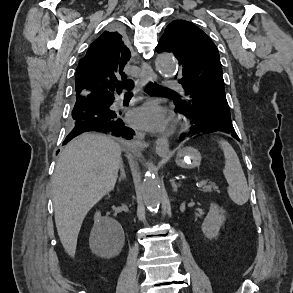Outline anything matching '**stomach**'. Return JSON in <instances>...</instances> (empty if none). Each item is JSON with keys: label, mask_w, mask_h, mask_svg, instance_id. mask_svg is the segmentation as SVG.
<instances>
[{"label": "stomach", "mask_w": 293, "mask_h": 293, "mask_svg": "<svg viewBox=\"0 0 293 293\" xmlns=\"http://www.w3.org/2000/svg\"><path fill=\"white\" fill-rule=\"evenodd\" d=\"M175 162L182 168H195L201 163V154L196 148L184 147L177 152Z\"/></svg>", "instance_id": "obj_1"}]
</instances>
